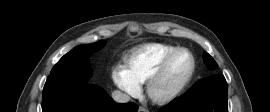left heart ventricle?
<instances>
[{
	"label": "left heart ventricle",
	"instance_id": "left-heart-ventricle-1",
	"mask_svg": "<svg viewBox=\"0 0 270 112\" xmlns=\"http://www.w3.org/2000/svg\"><path fill=\"white\" fill-rule=\"evenodd\" d=\"M191 68V59L186 52L178 53L169 63L163 77L156 86L158 95L175 89L186 77Z\"/></svg>",
	"mask_w": 270,
	"mask_h": 112
}]
</instances>
